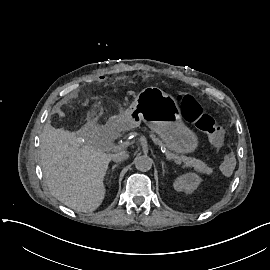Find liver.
<instances>
[{"mask_svg": "<svg viewBox=\"0 0 270 270\" xmlns=\"http://www.w3.org/2000/svg\"><path fill=\"white\" fill-rule=\"evenodd\" d=\"M43 174L51 194L66 206L82 212L95 210L103 201V178L112 155L93 140L81 141L76 133L55 129L50 123L40 135Z\"/></svg>", "mask_w": 270, "mask_h": 270, "instance_id": "6515ba94", "label": "liver"}]
</instances>
